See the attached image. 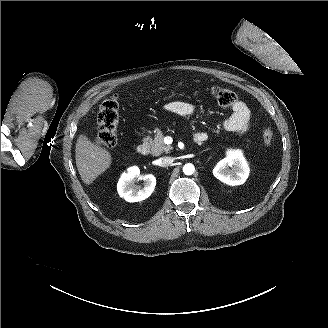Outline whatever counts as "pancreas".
Wrapping results in <instances>:
<instances>
[{
    "mask_svg": "<svg viewBox=\"0 0 328 328\" xmlns=\"http://www.w3.org/2000/svg\"><path fill=\"white\" fill-rule=\"evenodd\" d=\"M143 142L149 147L150 153L153 156H159L163 152L168 153L173 149L171 145H166L164 143V135L159 129H157V134L154 139H152L150 136H147L143 138Z\"/></svg>",
    "mask_w": 328,
    "mask_h": 328,
    "instance_id": "pancreas-1",
    "label": "pancreas"
}]
</instances>
